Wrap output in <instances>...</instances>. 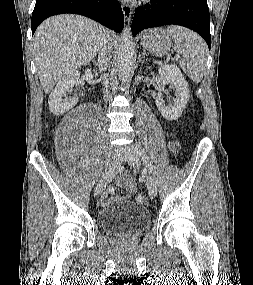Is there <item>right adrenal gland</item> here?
I'll return each instance as SVG.
<instances>
[{"label":"right adrenal gland","instance_id":"1","mask_svg":"<svg viewBox=\"0 0 253 285\" xmlns=\"http://www.w3.org/2000/svg\"><path fill=\"white\" fill-rule=\"evenodd\" d=\"M92 62H94L95 66H98V62H96L95 60H92Z\"/></svg>","mask_w":253,"mask_h":285}]
</instances>
